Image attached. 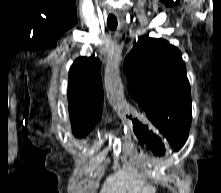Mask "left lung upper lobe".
Segmentation results:
<instances>
[{
  "label": "left lung upper lobe",
  "mask_w": 221,
  "mask_h": 193,
  "mask_svg": "<svg viewBox=\"0 0 221 193\" xmlns=\"http://www.w3.org/2000/svg\"><path fill=\"white\" fill-rule=\"evenodd\" d=\"M128 92L178 151L192 120L191 91L181 52L163 39L141 37L124 60Z\"/></svg>",
  "instance_id": "1"
}]
</instances>
